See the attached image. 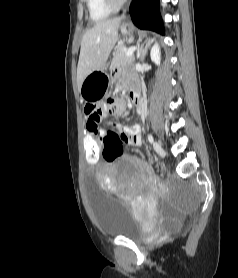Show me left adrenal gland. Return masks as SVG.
<instances>
[{
  "label": "left adrenal gland",
  "mask_w": 238,
  "mask_h": 278,
  "mask_svg": "<svg viewBox=\"0 0 238 278\" xmlns=\"http://www.w3.org/2000/svg\"><path fill=\"white\" fill-rule=\"evenodd\" d=\"M153 42V39H148V41L146 42V45L145 47H141L139 50H138V53H137V56L140 57V60H143L146 53H147V49L148 47L150 46V44Z\"/></svg>",
  "instance_id": "a2214340"
}]
</instances>
